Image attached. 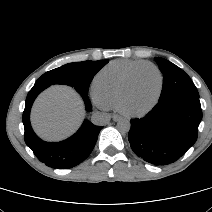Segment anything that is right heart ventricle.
I'll return each instance as SVG.
<instances>
[{"instance_id":"1","label":"right heart ventricle","mask_w":212,"mask_h":212,"mask_svg":"<svg viewBox=\"0 0 212 212\" xmlns=\"http://www.w3.org/2000/svg\"><path fill=\"white\" fill-rule=\"evenodd\" d=\"M145 61L115 60L103 67L94 78V88L109 106L117 105L121 89L136 67Z\"/></svg>"}]
</instances>
